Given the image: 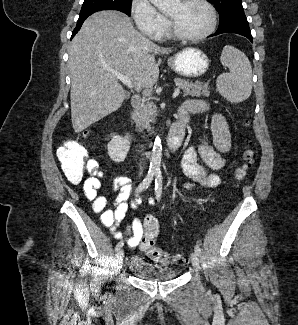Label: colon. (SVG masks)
Returning a JSON list of instances; mask_svg holds the SVG:
<instances>
[{"mask_svg":"<svg viewBox=\"0 0 298 325\" xmlns=\"http://www.w3.org/2000/svg\"><path fill=\"white\" fill-rule=\"evenodd\" d=\"M58 158L61 163L65 177L71 183H79L83 180L85 173H92L99 168L98 161L89 159L83 148L75 146H64L59 150ZM254 153L248 149L244 152L243 163L237 168L235 178L242 180L253 164ZM143 235L139 242L140 249L153 261L162 264H172L179 260L177 256L162 250L156 246V238L159 232L157 219L148 215L143 222Z\"/></svg>","mask_w":298,"mask_h":325,"instance_id":"obj_1","label":"colon"}]
</instances>
